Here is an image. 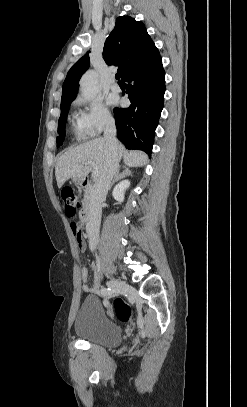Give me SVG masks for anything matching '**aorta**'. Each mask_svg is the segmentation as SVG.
<instances>
[{
  "label": "aorta",
  "instance_id": "762f6f07",
  "mask_svg": "<svg viewBox=\"0 0 247 407\" xmlns=\"http://www.w3.org/2000/svg\"><path fill=\"white\" fill-rule=\"evenodd\" d=\"M80 90L86 99H93L99 93L98 75L95 71L89 70L82 76Z\"/></svg>",
  "mask_w": 247,
  "mask_h": 407
}]
</instances>
